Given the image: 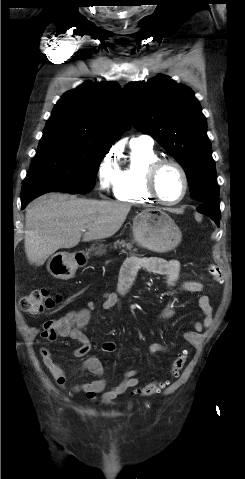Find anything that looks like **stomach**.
I'll list each match as a JSON object with an SVG mask.
<instances>
[{"label":"stomach","instance_id":"obj_1","mask_svg":"<svg viewBox=\"0 0 245 479\" xmlns=\"http://www.w3.org/2000/svg\"><path fill=\"white\" fill-rule=\"evenodd\" d=\"M134 240L143 248L154 252H168L178 246L182 234L174 220L159 210H143L133 220ZM105 252L103 245L98 247L96 255ZM78 263L73 254L58 252L51 256L47 269L52 276L70 279L74 276Z\"/></svg>","mask_w":245,"mask_h":479}]
</instances>
